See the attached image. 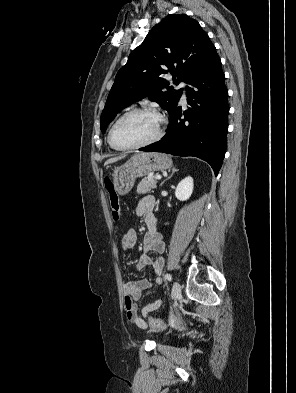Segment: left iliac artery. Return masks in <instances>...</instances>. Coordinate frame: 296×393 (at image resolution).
Returning <instances> with one entry per match:
<instances>
[{"label": "left iliac artery", "mask_w": 296, "mask_h": 393, "mask_svg": "<svg viewBox=\"0 0 296 393\" xmlns=\"http://www.w3.org/2000/svg\"><path fill=\"white\" fill-rule=\"evenodd\" d=\"M165 279H167L168 281H172V276L169 273L165 274Z\"/></svg>", "instance_id": "1"}]
</instances>
